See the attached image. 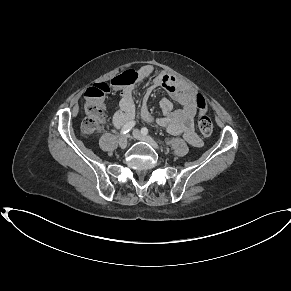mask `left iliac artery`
Segmentation results:
<instances>
[{
	"instance_id": "1",
	"label": "left iliac artery",
	"mask_w": 291,
	"mask_h": 291,
	"mask_svg": "<svg viewBox=\"0 0 291 291\" xmlns=\"http://www.w3.org/2000/svg\"><path fill=\"white\" fill-rule=\"evenodd\" d=\"M141 133H142L143 135H147V134L149 133V131H148V129H147L146 127H143V128L141 129Z\"/></svg>"
}]
</instances>
